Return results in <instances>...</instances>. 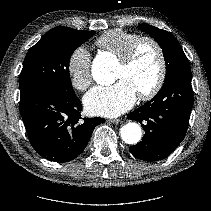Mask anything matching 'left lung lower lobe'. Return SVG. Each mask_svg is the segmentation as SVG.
<instances>
[{
    "label": "left lung lower lobe",
    "instance_id": "0a47b994",
    "mask_svg": "<svg viewBox=\"0 0 211 211\" xmlns=\"http://www.w3.org/2000/svg\"><path fill=\"white\" fill-rule=\"evenodd\" d=\"M193 106L191 71L168 78L158 94L128 115L145 130L142 141L129 148L144 161H159L169 156L184 139Z\"/></svg>",
    "mask_w": 211,
    "mask_h": 211
}]
</instances>
